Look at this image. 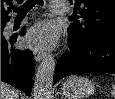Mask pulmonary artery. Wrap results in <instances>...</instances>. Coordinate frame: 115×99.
<instances>
[{"label": "pulmonary artery", "mask_w": 115, "mask_h": 99, "mask_svg": "<svg viewBox=\"0 0 115 99\" xmlns=\"http://www.w3.org/2000/svg\"><path fill=\"white\" fill-rule=\"evenodd\" d=\"M68 11L66 4L63 1H53L51 4V12L54 14H64ZM12 25V22L10 23Z\"/></svg>", "instance_id": "e3ab8cb5"}]
</instances>
